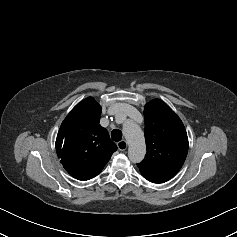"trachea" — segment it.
<instances>
[{
	"instance_id": "1",
	"label": "trachea",
	"mask_w": 237,
	"mask_h": 237,
	"mask_svg": "<svg viewBox=\"0 0 237 237\" xmlns=\"http://www.w3.org/2000/svg\"><path fill=\"white\" fill-rule=\"evenodd\" d=\"M111 138L116 142L120 141L122 139V132L119 129H114L111 132Z\"/></svg>"
}]
</instances>
